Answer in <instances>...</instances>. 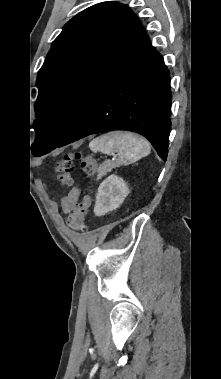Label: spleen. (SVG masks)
I'll return each mask as SVG.
<instances>
[{"instance_id": "obj_1", "label": "spleen", "mask_w": 221, "mask_h": 379, "mask_svg": "<svg viewBox=\"0 0 221 379\" xmlns=\"http://www.w3.org/2000/svg\"><path fill=\"white\" fill-rule=\"evenodd\" d=\"M93 152L117 155L119 165H129L150 154L149 142L129 132H109L93 139L89 144Z\"/></svg>"}]
</instances>
